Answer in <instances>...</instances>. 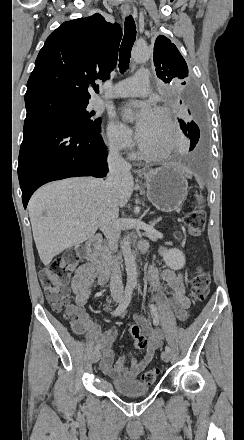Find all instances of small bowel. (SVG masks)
<instances>
[{"label": "small bowel", "instance_id": "small-bowel-1", "mask_svg": "<svg viewBox=\"0 0 244 440\" xmlns=\"http://www.w3.org/2000/svg\"><path fill=\"white\" fill-rule=\"evenodd\" d=\"M165 251L166 248L161 247L160 252L165 253ZM148 278L152 288L158 294L162 312L165 315L174 314L180 321H185L188 317L187 309L191 303L186 295V285L183 274L173 269H164L160 272L157 264H154L149 268ZM160 278L167 285L169 291H166L161 286ZM108 280V273H105L91 263L81 266L76 271L72 281L74 302L79 303L80 307L84 306L89 301L91 289L94 286H105ZM106 309L107 308L104 307V310ZM136 322L137 324H141L142 333L148 334L150 346L149 348H140L146 350L145 356L140 360L132 358L129 367L126 366L128 359L126 355H120L115 360L113 342L116 336V330L114 328H109L102 332L98 325L91 319L90 326L87 327L88 335L98 338V345L102 351L99 362L100 370L103 374L115 381H130L135 379L152 361L156 352L164 344V336L159 328L149 325L141 316L137 317Z\"/></svg>", "mask_w": 244, "mask_h": 440}]
</instances>
